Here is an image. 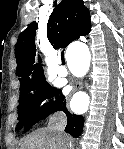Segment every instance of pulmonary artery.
Returning a JSON list of instances; mask_svg holds the SVG:
<instances>
[{"mask_svg":"<svg viewBox=\"0 0 124 149\" xmlns=\"http://www.w3.org/2000/svg\"><path fill=\"white\" fill-rule=\"evenodd\" d=\"M58 74L61 75V76H65L67 74L66 68H60L58 70Z\"/></svg>","mask_w":124,"mask_h":149,"instance_id":"pulmonary-artery-1","label":"pulmonary artery"}]
</instances>
